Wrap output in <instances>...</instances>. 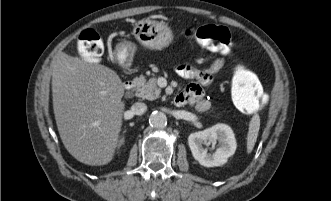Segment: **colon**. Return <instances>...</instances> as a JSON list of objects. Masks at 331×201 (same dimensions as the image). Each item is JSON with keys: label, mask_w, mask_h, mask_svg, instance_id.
Wrapping results in <instances>:
<instances>
[{"label": "colon", "mask_w": 331, "mask_h": 201, "mask_svg": "<svg viewBox=\"0 0 331 201\" xmlns=\"http://www.w3.org/2000/svg\"><path fill=\"white\" fill-rule=\"evenodd\" d=\"M186 33L201 45L215 52L227 54L232 48L231 33L225 26L206 24L187 30ZM78 50L85 60L97 62L103 54L104 45L96 31L87 29L79 36ZM231 93L237 108L246 114L258 112L268 101L258 77L242 66L234 70Z\"/></svg>", "instance_id": "1"}]
</instances>
